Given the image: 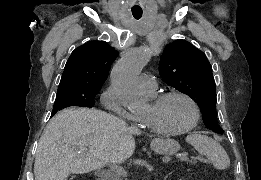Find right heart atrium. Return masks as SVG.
I'll return each instance as SVG.
<instances>
[{"label": "right heart atrium", "instance_id": "right-heart-atrium-1", "mask_svg": "<svg viewBox=\"0 0 261 180\" xmlns=\"http://www.w3.org/2000/svg\"><path fill=\"white\" fill-rule=\"evenodd\" d=\"M101 104L103 108H109V112H117L118 117H125V120H129V125H127V127H131L132 117L129 112L119 105L112 86L108 87L103 92L101 96Z\"/></svg>", "mask_w": 261, "mask_h": 180}]
</instances>
